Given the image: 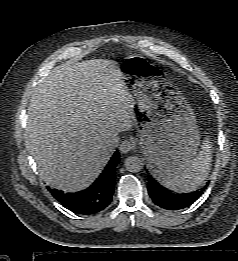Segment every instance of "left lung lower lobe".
I'll list each match as a JSON object with an SVG mask.
<instances>
[{
	"mask_svg": "<svg viewBox=\"0 0 238 261\" xmlns=\"http://www.w3.org/2000/svg\"><path fill=\"white\" fill-rule=\"evenodd\" d=\"M147 189L153 202L159 207L167 210H179L188 207L201 196L204 190L201 189L185 194L172 193L151 176L148 179Z\"/></svg>",
	"mask_w": 238,
	"mask_h": 261,
	"instance_id": "left-lung-lower-lobe-1",
	"label": "left lung lower lobe"
}]
</instances>
